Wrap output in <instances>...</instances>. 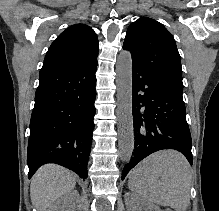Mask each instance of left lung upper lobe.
<instances>
[{
	"mask_svg": "<svg viewBox=\"0 0 219 211\" xmlns=\"http://www.w3.org/2000/svg\"><path fill=\"white\" fill-rule=\"evenodd\" d=\"M123 49L132 55V65L183 91L180 55L172 34L159 22L141 17L128 27Z\"/></svg>",
	"mask_w": 219,
	"mask_h": 211,
	"instance_id": "1",
	"label": "left lung upper lobe"
}]
</instances>
